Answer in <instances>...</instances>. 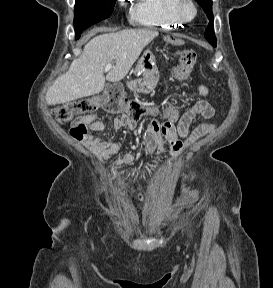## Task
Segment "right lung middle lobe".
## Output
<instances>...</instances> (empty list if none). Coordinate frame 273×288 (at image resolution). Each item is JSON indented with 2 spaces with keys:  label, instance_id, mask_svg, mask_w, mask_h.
<instances>
[{
  "label": "right lung middle lobe",
  "instance_id": "dd1d6c3e",
  "mask_svg": "<svg viewBox=\"0 0 273 288\" xmlns=\"http://www.w3.org/2000/svg\"><path fill=\"white\" fill-rule=\"evenodd\" d=\"M117 0H76L74 29L78 39L82 31L91 25L108 18Z\"/></svg>",
  "mask_w": 273,
  "mask_h": 288
}]
</instances>
